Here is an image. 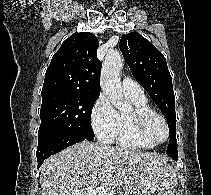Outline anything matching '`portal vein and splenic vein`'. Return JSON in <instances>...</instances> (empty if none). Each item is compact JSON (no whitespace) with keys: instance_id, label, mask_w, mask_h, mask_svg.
I'll return each instance as SVG.
<instances>
[{"instance_id":"portal-vein-and-splenic-vein-1","label":"portal vein and splenic vein","mask_w":211,"mask_h":195,"mask_svg":"<svg viewBox=\"0 0 211 195\" xmlns=\"http://www.w3.org/2000/svg\"><path fill=\"white\" fill-rule=\"evenodd\" d=\"M88 195H112V193L109 192L104 187H99L97 190H93V191L89 192Z\"/></svg>"}]
</instances>
